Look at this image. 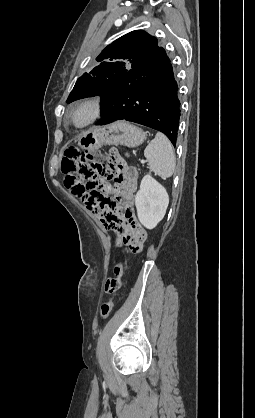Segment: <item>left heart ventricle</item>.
<instances>
[{
    "label": "left heart ventricle",
    "mask_w": 255,
    "mask_h": 418,
    "mask_svg": "<svg viewBox=\"0 0 255 418\" xmlns=\"http://www.w3.org/2000/svg\"><path fill=\"white\" fill-rule=\"evenodd\" d=\"M87 114H88V112H87L86 109H81V110L77 111L75 116H74L75 122H77V123L82 122L86 118Z\"/></svg>",
    "instance_id": "1"
}]
</instances>
